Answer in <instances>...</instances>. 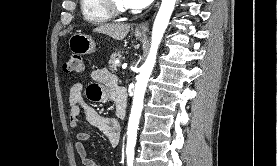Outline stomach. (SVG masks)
<instances>
[{
    "label": "stomach",
    "mask_w": 277,
    "mask_h": 166,
    "mask_svg": "<svg viewBox=\"0 0 277 166\" xmlns=\"http://www.w3.org/2000/svg\"><path fill=\"white\" fill-rule=\"evenodd\" d=\"M135 37L139 40L143 38V35L139 32H135ZM69 48L72 53L77 55L91 54L95 51L96 44L92 37L82 33H75L69 39Z\"/></svg>",
    "instance_id": "stomach-1"
}]
</instances>
